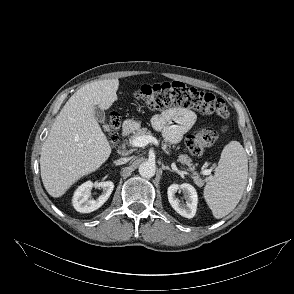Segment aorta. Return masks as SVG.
<instances>
[{"label": "aorta", "mask_w": 294, "mask_h": 294, "mask_svg": "<svg viewBox=\"0 0 294 294\" xmlns=\"http://www.w3.org/2000/svg\"><path fill=\"white\" fill-rule=\"evenodd\" d=\"M139 174L144 178H151L155 175V164L151 162H144L139 166Z\"/></svg>", "instance_id": "762f6f07"}]
</instances>
